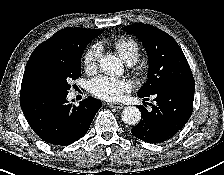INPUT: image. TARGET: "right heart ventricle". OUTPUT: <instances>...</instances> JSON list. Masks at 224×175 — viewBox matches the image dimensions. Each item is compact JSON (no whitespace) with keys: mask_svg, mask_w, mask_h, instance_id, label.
<instances>
[{"mask_svg":"<svg viewBox=\"0 0 224 175\" xmlns=\"http://www.w3.org/2000/svg\"><path fill=\"white\" fill-rule=\"evenodd\" d=\"M113 47L125 63L132 60L137 61L139 57V47L133 39L118 38L113 42Z\"/></svg>","mask_w":224,"mask_h":175,"instance_id":"1","label":"right heart ventricle"}]
</instances>
